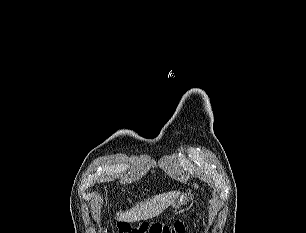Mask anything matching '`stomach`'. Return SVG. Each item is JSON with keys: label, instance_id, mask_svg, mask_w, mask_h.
I'll list each match as a JSON object with an SVG mask.
<instances>
[{"label": "stomach", "instance_id": "stomach-1", "mask_svg": "<svg viewBox=\"0 0 306 233\" xmlns=\"http://www.w3.org/2000/svg\"><path fill=\"white\" fill-rule=\"evenodd\" d=\"M187 195L185 193L179 194L177 199L173 202L172 207L173 208H179L187 201Z\"/></svg>", "mask_w": 306, "mask_h": 233}]
</instances>
